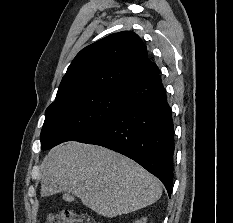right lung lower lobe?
Segmentation results:
<instances>
[{
    "instance_id": "98d812e1",
    "label": "right lung lower lobe",
    "mask_w": 233,
    "mask_h": 223,
    "mask_svg": "<svg viewBox=\"0 0 233 223\" xmlns=\"http://www.w3.org/2000/svg\"><path fill=\"white\" fill-rule=\"evenodd\" d=\"M120 100V111L79 142L104 146L133 159L158 177L170 196L174 132L160 75L122 89Z\"/></svg>"
}]
</instances>
